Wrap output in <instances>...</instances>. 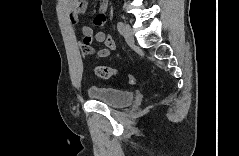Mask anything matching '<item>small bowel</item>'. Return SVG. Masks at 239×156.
Returning a JSON list of instances; mask_svg holds the SVG:
<instances>
[{
    "label": "small bowel",
    "instance_id": "obj_1",
    "mask_svg": "<svg viewBox=\"0 0 239 156\" xmlns=\"http://www.w3.org/2000/svg\"><path fill=\"white\" fill-rule=\"evenodd\" d=\"M65 6L68 12L70 23L75 33L81 31L83 39L80 43L81 51L87 55H96L97 58H107L116 50V43L113 38L105 31L99 30L95 32L89 25L80 26V16L87 10L88 3L85 0H67ZM108 2L102 1L99 7V14L95 19V24L99 27H104L106 22V11ZM103 43L105 48H97L94 43Z\"/></svg>",
    "mask_w": 239,
    "mask_h": 156
}]
</instances>
